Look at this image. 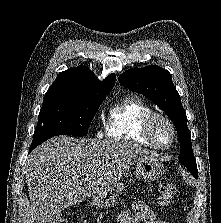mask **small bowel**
<instances>
[{
    "instance_id": "small-bowel-1",
    "label": "small bowel",
    "mask_w": 221,
    "mask_h": 223,
    "mask_svg": "<svg viewBox=\"0 0 221 223\" xmlns=\"http://www.w3.org/2000/svg\"><path fill=\"white\" fill-rule=\"evenodd\" d=\"M168 223L159 218L154 211L145 203L138 202L123 211L116 223Z\"/></svg>"
}]
</instances>
